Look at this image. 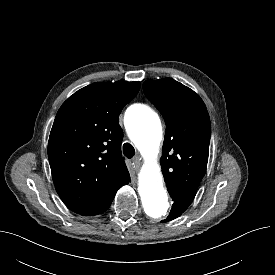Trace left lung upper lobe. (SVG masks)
Wrapping results in <instances>:
<instances>
[{
	"mask_svg": "<svg viewBox=\"0 0 275 275\" xmlns=\"http://www.w3.org/2000/svg\"><path fill=\"white\" fill-rule=\"evenodd\" d=\"M143 89L166 122L160 163L168 191L196 193L206 172L211 134L204 102L171 78L147 80Z\"/></svg>",
	"mask_w": 275,
	"mask_h": 275,
	"instance_id": "1",
	"label": "left lung upper lobe"
}]
</instances>
